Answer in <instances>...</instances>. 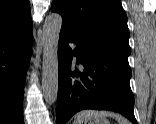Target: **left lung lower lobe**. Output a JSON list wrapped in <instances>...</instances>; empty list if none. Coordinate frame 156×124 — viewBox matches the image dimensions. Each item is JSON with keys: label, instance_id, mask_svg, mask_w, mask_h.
<instances>
[{"label": "left lung lower lobe", "instance_id": "1", "mask_svg": "<svg viewBox=\"0 0 156 124\" xmlns=\"http://www.w3.org/2000/svg\"><path fill=\"white\" fill-rule=\"evenodd\" d=\"M75 58L84 66L82 73L70 70ZM58 66L57 124H65L83 109L115 111L137 124L128 56L110 46L81 39L62 27ZM70 76L80 79L73 80Z\"/></svg>", "mask_w": 156, "mask_h": 124}]
</instances>
